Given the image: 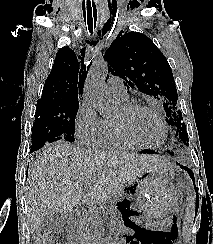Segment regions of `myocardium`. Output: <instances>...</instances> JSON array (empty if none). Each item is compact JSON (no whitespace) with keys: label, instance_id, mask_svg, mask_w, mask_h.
Wrapping results in <instances>:
<instances>
[{"label":"myocardium","instance_id":"myocardium-1","mask_svg":"<svg viewBox=\"0 0 213 244\" xmlns=\"http://www.w3.org/2000/svg\"><path fill=\"white\" fill-rule=\"evenodd\" d=\"M123 107L129 112L144 110V111L151 113L158 120V122L162 126L163 132H164L163 138L160 141V143H158L156 145H148V144H144V143L136 140L135 138H133L122 125H120L116 122H113L117 135L124 142L134 146L135 148H141V149H156L165 143L167 136H168V128H167V125L165 124L164 120L162 119L161 115L158 112H156L150 106L138 104V103H126Z\"/></svg>","mask_w":213,"mask_h":244}]
</instances>
